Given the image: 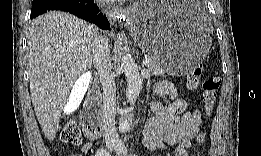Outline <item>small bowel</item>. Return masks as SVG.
Instances as JSON below:
<instances>
[{
  "instance_id": "obj_1",
  "label": "small bowel",
  "mask_w": 261,
  "mask_h": 156,
  "mask_svg": "<svg viewBox=\"0 0 261 156\" xmlns=\"http://www.w3.org/2000/svg\"><path fill=\"white\" fill-rule=\"evenodd\" d=\"M158 96H168L169 105L153 102L151 109L154 116L149 119L146 127L147 146L166 150L169 145H175V156H187L191 140L199 131L201 114L199 111H188L185 100L178 98L174 86L166 81L159 82L154 87ZM91 143H86L82 151L88 153Z\"/></svg>"
}]
</instances>
